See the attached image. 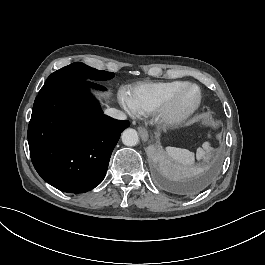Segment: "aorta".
Segmentation results:
<instances>
[{"mask_svg":"<svg viewBox=\"0 0 265 265\" xmlns=\"http://www.w3.org/2000/svg\"><path fill=\"white\" fill-rule=\"evenodd\" d=\"M121 138H122L123 144L126 146H135L139 142L137 131L132 128L126 129L122 133Z\"/></svg>","mask_w":265,"mask_h":265,"instance_id":"1","label":"aorta"}]
</instances>
